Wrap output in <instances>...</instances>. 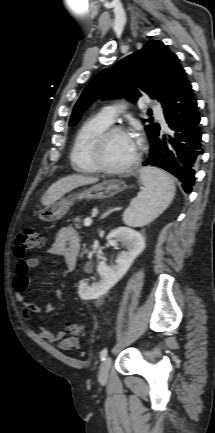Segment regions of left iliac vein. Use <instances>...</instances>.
Wrapping results in <instances>:
<instances>
[{
	"instance_id": "4c4485c4",
	"label": "left iliac vein",
	"mask_w": 215,
	"mask_h": 433,
	"mask_svg": "<svg viewBox=\"0 0 215 433\" xmlns=\"http://www.w3.org/2000/svg\"><path fill=\"white\" fill-rule=\"evenodd\" d=\"M111 366V358L107 357L103 360L99 370V381L106 382L109 374V369Z\"/></svg>"
}]
</instances>
